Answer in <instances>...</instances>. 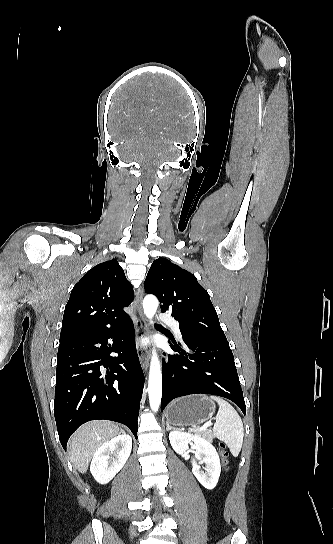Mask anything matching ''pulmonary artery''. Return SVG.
Wrapping results in <instances>:
<instances>
[{
	"instance_id": "obj_1",
	"label": "pulmonary artery",
	"mask_w": 333,
	"mask_h": 544,
	"mask_svg": "<svg viewBox=\"0 0 333 544\" xmlns=\"http://www.w3.org/2000/svg\"><path fill=\"white\" fill-rule=\"evenodd\" d=\"M159 318L162 321L170 324L173 327V329H174L175 333L177 334V336L181 337L179 323L174 318H172L170 315H166V314L160 315Z\"/></svg>"
}]
</instances>
